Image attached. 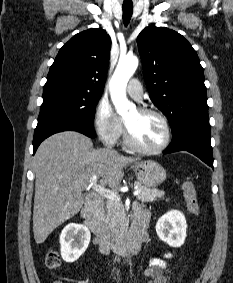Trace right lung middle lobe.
<instances>
[{
  "label": "right lung middle lobe",
  "instance_id": "dd1d6c3e",
  "mask_svg": "<svg viewBox=\"0 0 233 283\" xmlns=\"http://www.w3.org/2000/svg\"><path fill=\"white\" fill-rule=\"evenodd\" d=\"M101 95L102 92H91L67 85H44L38 123L64 118L93 126L95 106Z\"/></svg>",
  "mask_w": 233,
  "mask_h": 283
}]
</instances>
